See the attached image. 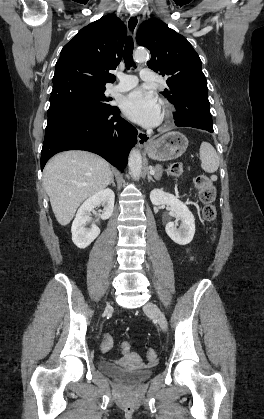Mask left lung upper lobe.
<instances>
[{
	"instance_id": "obj_1",
	"label": "left lung upper lobe",
	"mask_w": 264,
	"mask_h": 419,
	"mask_svg": "<svg viewBox=\"0 0 264 419\" xmlns=\"http://www.w3.org/2000/svg\"><path fill=\"white\" fill-rule=\"evenodd\" d=\"M136 40L151 52L148 67L167 78L168 88L162 94L176 109L186 100L208 96L201 60L185 37L164 22L151 19L142 23Z\"/></svg>"
}]
</instances>
